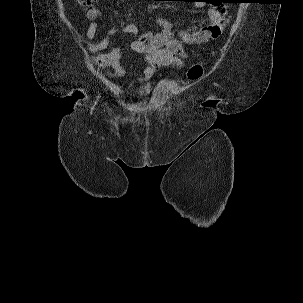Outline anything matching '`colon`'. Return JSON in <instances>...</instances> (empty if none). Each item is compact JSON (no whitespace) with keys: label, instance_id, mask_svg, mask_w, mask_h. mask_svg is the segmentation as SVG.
Returning a JSON list of instances; mask_svg holds the SVG:
<instances>
[{"label":"colon","instance_id":"obj_1","mask_svg":"<svg viewBox=\"0 0 303 303\" xmlns=\"http://www.w3.org/2000/svg\"><path fill=\"white\" fill-rule=\"evenodd\" d=\"M81 6H90L94 0H78ZM203 75V67L200 64L192 66L188 71V77L192 80L198 79Z\"/></svg>","mask_w":303,"mask_h":303}]
</instances>
